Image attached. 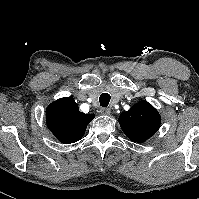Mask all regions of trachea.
<instances>
[{
    "label": "trachea",
    "mask_w": 199,
    "mask_h": 199,
    "mask_svg": "<svg viewBox=\"0 0 199 199\" xmlns=\"http://www.w3.org/2000/svg\"><path fill=\"white\" fill-rule=\"evenodd\" d=\"M110 95L108 93H103L99 97V102L102 107H107L110 102Z\"/></svg>",
    "instance_id": "1"
}]
</instances>
